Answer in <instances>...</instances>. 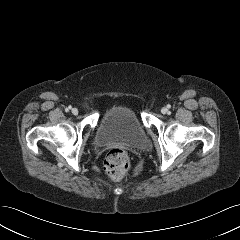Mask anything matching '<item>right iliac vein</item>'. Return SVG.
<instances>
[{
  "instance_id": "right-iliac-vein-1",
  "label": "right iliac vein",
  "mask_w": 240,
  "mask_h": 240,
  "mask_svg": "<svg viewBox=\"0 0 240 240\" xmlns=\"http://www.w3.org/2000/svg\"><path fill=\"white\" fill-rule=\"evenodd\" d=\"M71 112H72V114L77 115L78 114V109L77 108H73L71 110Z\"/></svg>"
}]
</instances>
